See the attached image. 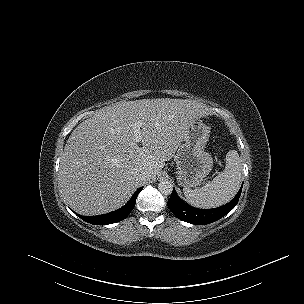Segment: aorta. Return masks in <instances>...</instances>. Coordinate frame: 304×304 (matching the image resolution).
Returning a JSON list of instances; mask_svg holds the SVG:
<instances>
[{
    "mask_svg": "<svg viewBox=\"0 0 304 304\" xmlns=\"http://www.w3.org/2000/svg\"><path fill=\"white\" fill-rule=\"evenodd\" d=\"M159 191L164 195H170L173 191V184L169 180H161L158 184Z\"/></svg>",
    "mask_w": 304,
    "mask_h": 304,
    "instance_id": "obj_1",
    "label": "aorta"
}]
</instances>
